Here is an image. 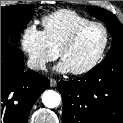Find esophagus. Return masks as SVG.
<instances>
[{
    "instance_id": "esophagus-1",
    "label": "esophagus",
    "mask_w": 123,
    "mask_h": 123,
    "mask_svg": "<svg viewBox=\"0 0 123 123\" xmlns=\"http://www.w3.org/2000/svg\"><path fill=\"white\" fill-rule=\"evenodd\" d=\"M50 86L51 87H56L57 86V81L53 78L50 79Z\"/></svg>"
}]
</instances>
